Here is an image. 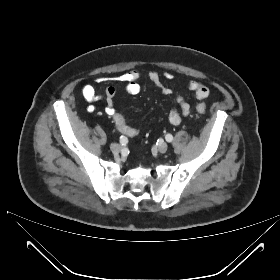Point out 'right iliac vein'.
Segmentation results:
<instances>
[{
  "label": "right iliac vein",
  "mask_w": 280,
  "mask_h": 280,
  "mask_svg": "<svg viewBox=\"0 0 280 280\" xmlns=\"http://www.w3.org/2000/svg\"><path fill=\"white\" fill-rule=\"evenodd\" d=\"M110 149L112 152H119L121 149V146L117 143H113L110 145Z\"/></svg>",
  "instance_id": "obj_1"
}]
</instances>
